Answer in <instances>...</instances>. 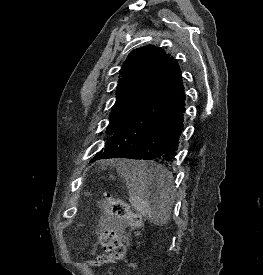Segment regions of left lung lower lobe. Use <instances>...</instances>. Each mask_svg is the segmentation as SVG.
Segmentation results:
<instances>
[{"label": "left lung lower lobe", "instance_id": "left-lung-lower-lobe-1", "mask_svg": "<svg viewBox=\"0 0 263 275\" xmlns=\"http://www.w3.org/2000/svg\"><path fill=\"white\" fill-rule=\"evenodd\" d=\"M185 90L176 62L167 68L161 80L146 95L127 121L111 136L97 159L129 158L150 160L170 167L183 130ZM161 166V165H160ZM154 180L166 177L146 171Z\"/></svg>", "mask_w": 263, "mask_h": 275}]
</instances>
